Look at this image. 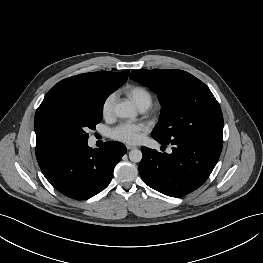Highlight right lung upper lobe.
I'll return each mask as SVG.
<instances>
[{"label": "right lung upper lobe", "mask_w": 263, "mask_h": 263, "mask_svg": "<svg viewBox=\"0 0 263 263\" xmlns=\"http://www.w3.org/2000/svg\"><path fill=\"white\" fill-rule=\"evenodd\" d=\"M129 71L93 72L66 78L53 86L41 104L53 100H70L80 97L89 91L106 86L115 90L126 82Z\"/></svg>", "instance_id": "right-lung-upper-lobe-1"}]
</instances>
